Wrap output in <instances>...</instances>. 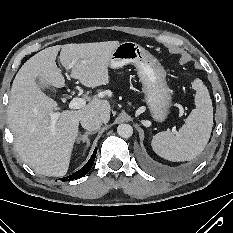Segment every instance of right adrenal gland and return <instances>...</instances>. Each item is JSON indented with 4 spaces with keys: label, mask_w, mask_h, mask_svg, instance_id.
<instances>
[{
    "label": "right adrenal gland",
    "mask_w": 233,
    "mask_h": 233,
    "mask_svg": "<svg viewBox=\"0 0 233 233\" xmlns=\"http://www.w3.org/2000/svg\"><path fill=\"white\" fill-rule=\"evenodd\" d=\"M95 132L93 131H88V132H85L84 135H79V137L77 138V142L80 143V141H83V142H86V147H85V151L87 150V148L89 147L90 145V140L88 138L89 135H92L94 134Z\"/></svg>",
    "instance_id": "obj_1"
}]
</instances>
